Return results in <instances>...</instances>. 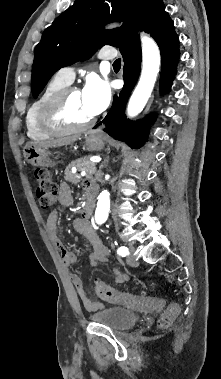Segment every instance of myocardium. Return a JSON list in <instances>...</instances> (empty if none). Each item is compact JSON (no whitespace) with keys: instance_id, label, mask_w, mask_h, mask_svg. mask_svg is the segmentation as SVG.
<instances>
[{"instance_id":"myocardium-1","label":"myocardium","mask_w":221,"mask_h":379,"mask_svg":"<svg viewBox=\"0 0 221 379\" xmlns=\"http://www.w3.org/2000/svg\"><path fill=\"white\" fill-rule=\"evenodd\" d=\"M75 90H77L75 87L67 86L55 93L43 105L39 114V122L45 131L53 135L69 134L85 130L94 124L95 117L79 124L72 123L67 119V102Z\"/></svg>"}]
</instances>
